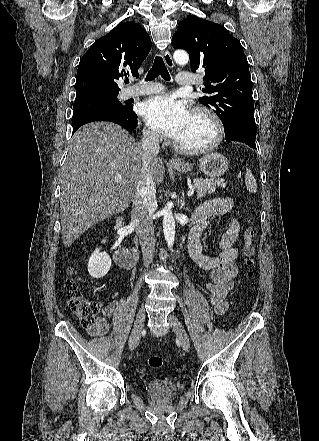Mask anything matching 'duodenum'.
I'll list each match as a JSON object with an SVG mask.
<instances>
[{
	"label": "duodenum",
	"mask_w": 319,
	"mask_h": 441,
	"mask_svg": "<svg viewBox=\"0 0 319 441\" xmlns=\"http://www.w3.org/2000/svg\"><path fill=\"white\" fill-rule=\"evenodd\" d=\"M125 221L123 217H119L115 224L116 231H120L124 228ZM115 241L118 243L117 247L114 250V260L124 268H132L135 266L138 253L136 249L129 248L123 245L122 238L120 234L116 233Z\"/></svg>",
	"instance_id": "duodenum-1"
}]
</instances>
